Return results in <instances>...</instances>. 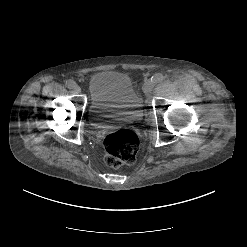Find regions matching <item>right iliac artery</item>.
Listing matches in <instances>:
<instances>
[{
	"instance_id": "obj_1",
	"label": "right iliac artery",
	"mask_w": 247,
	"mask_h": 247,
	"mask_svg": "<svg viewBox=\"0 0 247 247\" xmlns=\"http://www.w3.org/2000/svg\"><path fill=\"white\" fill-rule=\"evenodd\" d=\"M65 84H66V87L69 89H72L76 86V83L73 80H67Z\"/></svg>"
}]
</instances>
